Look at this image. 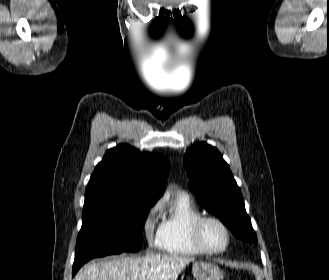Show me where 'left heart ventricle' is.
<instances>
[{
	"instance_id": "obj_1",
	"label": "left heart ventricle",
	"mask_w": 329,
	"mask_h": 280,
	"mask_svg": "<svg viewBox=\"0 0 329 280\" xmlns=\"http://www.w3.org/2000/svg\"><path fill=\"white\" fill-rule=\"evenodd\" d=\"M202 239L208 248L220 249L226 243V234L218 224L208 222L203 227Z\"/></svg>"
}]
</instances>
